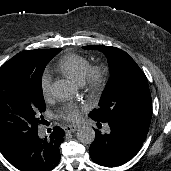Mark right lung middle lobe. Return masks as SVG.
Instances as JSON below:
<instances>
[{
  "label": "right lung middle lobe",
  "instance_id": "obj_1",
  "mask_svg": "<svg viewBox=\"0 0 171 171\" xmlns=\"http://www.w3.org/2000/svg\"><path fill=\"white\" fill-rule=\"evenodd\" d=\"M62 49L24 51L0 67V151L15 155L43 123L42 74Z\"/></svg>",
  "mask_w": 171,
  "mask_h": 171
}]
</instances>
